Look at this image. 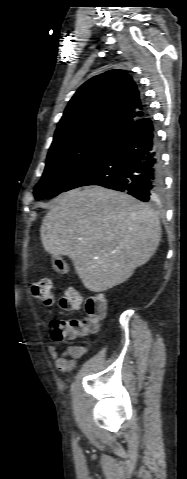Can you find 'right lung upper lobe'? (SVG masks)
<instances>
[{"label": "right lung upper lobe", "mask_w": 187, "mask_h": 479, "mask_svg": "<svg viewBox=\"0 0 187 479\" xmlns=\"http://www.w3.org/2000/svg\"><path fill=\"white\" fill-rule=\"evenodd\" d=\"M145 114V105L132 77L123 70H110L78 89L58 123L55 136L98 124L125 130Z\"/></svg>", "instance_id": "cb5924a9"}]
</instances>
